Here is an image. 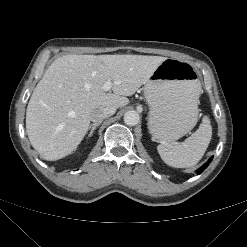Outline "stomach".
<instances>
[{"label":"stomach","mask_w":247,"mask_h":247,"mask_svg":"<svg viewBox=\"0 0 247 247\" xmlns=\"http://www.w3.org/2000/svg\"><path fill=\"white\" fill-rule=\"evenodd\" d=\"M200 92V82L188 62L172 58L163 61L144 85L152 138L168 143L192 130L198 119Z\"/></svg>","instance_id":"stomach-1"}]
</instances>
